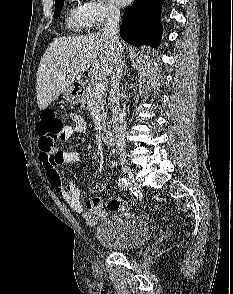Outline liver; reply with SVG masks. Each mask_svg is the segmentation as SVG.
I'll use <instances>...</instances> for the list:
<instances>
[{"label":"liver","mask_w":233,"mask_h":294,"mask_svg":"<svg viewBox=\"0 0 233 294\" xmlns=\"http://www.w3.org/2000/svg\"><path fill=\"white\" fill-rule=\"evenodd\" d=\"M117 53L113 43L100 33L54 39L37 71L36 95L40 110L47 108L87 70L91 79H106L112 74Z\"/></svg>","instance_id":"6515ba94"}]
</instances>
